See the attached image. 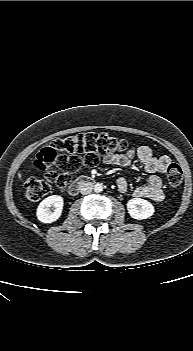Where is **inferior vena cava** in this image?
Returning a JSON list of instances; mask_svg holds the SVG:
<instances>
[{
  "mask_svg": "<svg viewBox=\"0 0 193 351\" xmlns=\"http://www.w3.org/2000/svg\"><path fill=\"white\" fill-rule=\"evenodd\" d=\"M92 184L91 183H83L81 186H80V193L83 194V195H87V194H90L92 192Z\"/></svg>",
  "mask_w": 193,
  "mask_h": 351,
  "instance_id": "1",
  "label": "inferior vena cava"
}]
</instances>
